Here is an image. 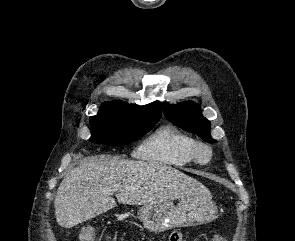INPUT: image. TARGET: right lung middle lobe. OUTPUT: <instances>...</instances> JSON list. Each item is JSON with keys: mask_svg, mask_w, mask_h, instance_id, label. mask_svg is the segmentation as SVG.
Listing matches in <instances>:
<instances>
[{"mask_svg": "<svg viewBox=\"0 0 295 241\" xmlns=\"http://www.w3.org/2000/svg\"><path fill=\"white\" fill-rule=\"evenodd\" d=\"M159 118L120 102H105L98 114L90 117L89 140L96 145H125L149 132Z\"/></svg>", "mask_w": 295, "mask_h": 241, "instance_id": "1", "label": "right lung middle lobe"}]
</instances>
